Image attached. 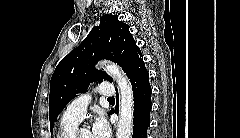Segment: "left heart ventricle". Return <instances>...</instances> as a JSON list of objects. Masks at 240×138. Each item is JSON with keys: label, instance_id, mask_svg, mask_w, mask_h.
Segmentation results:
<instances>
[{"label": "left heart ventricle", "instance_id": "obj_1", "mask_svg": "<svg viewBox=\"0 0 240 138\" xmlns=\"http://www.w3.org/2000/svg\"><path fill=\"white\" fill-rule=\"evenodd\" d=\"M79 138H92L91 132L88 129H81Z\"/></svg>", "mask_w": 240, "mask_h": 138}]
</instances>
